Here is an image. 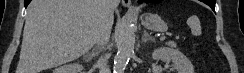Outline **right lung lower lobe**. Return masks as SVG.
Segmentation results:
<instances>
[{"label":"right lung lower lobe","instance_id":"obj_1","mask_svg":"<svg viewBox=\"0 0 244 73\" xmlns=\"http://www.w3.org/2000/svg\"><path fill=\"white\" fill-rule=\"evenodd\" d=\"M30 1H31V0H24V5H25V7L28 6V4L30 3Z\"/></svg>","mask_w":244,"mask_h":73}]
</instances>
